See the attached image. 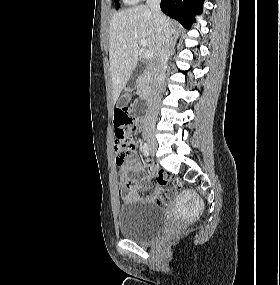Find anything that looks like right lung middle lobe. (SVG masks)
Returning <instances> with one entry per match:
<instances>
[{"label":"right lung middle lobe","mask_w":280,"mask_h":285,"mask_svg":"<svg viewBox=\"0 0 280 285\" xmlns=\"http://www.w3.org/2000/svg\"><path fill=\"white\" fill-rule=\"evenodd\" d=\"M116 9H119V0H115Z\"/></svg>","instance_id":"right-lung-middle-lobe-1"}]
</instances>
